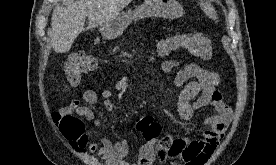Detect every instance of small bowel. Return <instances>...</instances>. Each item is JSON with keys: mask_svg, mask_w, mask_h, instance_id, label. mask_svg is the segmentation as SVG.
<instances>
[{"mask_svg": "<svg viewBox=\"0 0 276 165\" xmlns=\"http://www.w3.org/2000/svg\"><path fill=\"white\" fill-rule=\"evenodd\" d=\"M161 68L169 73L178 68L174 84L182 88L177 101V110L182 120L190 122L195 112L206 106H211L215 114L205 120L206 130L201 139L172 138L165 136L156 144L147 142L143 144L133 162H128L130 146L127 140L112 142L102 138L100 144L90 141V132L84 131L73 146L83 151L86 147L91 154L103 160L105 165H152L155 158L161 163L168 160H180L183 165H205L221 143L226 130L232 120V110L224 102L219 91V75L211 70L192 62H184L177 58L165 59ZM130 87L128 78L121 77L114 84V90L122 95ZM104 99L105 108L109 112L115 111L111 98L113 90L105 88L100 93ZM99 95L93 89L86 90L83 101L88 105L97 103ZM61 116H73L78 119L91 121L95 126H100V121L95 119L92 110L82 106L80 100L74 99L59 112Z\"/></svg>", "mask_w": 276, "mask_h": 165, "instance_id": "1", "label": "small bowel"}]
</instances>
